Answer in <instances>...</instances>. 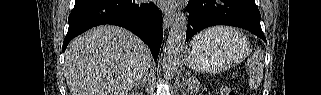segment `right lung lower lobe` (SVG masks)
Returning <instances> with one entry per match:
<instances>
[{
	"mask_svg": "<svg viewBox=\"0 0 321 95\" xmlns=\"http://www.w3.org/2000/svg\"><path fill=\"white\" fill-rule=\"evenodd\" d=\"M63 51L74 37L88 29L113 24L124 27L142 39L157 60L163 39L162 13L152 4L135 0H93L75 4L68 18Z\"/></svg>",
	"mask_w": 321,
	"mask_h": 95,
	"instance_id": "1",
	"label": "right lung lower lobe"
}]
</instances>
